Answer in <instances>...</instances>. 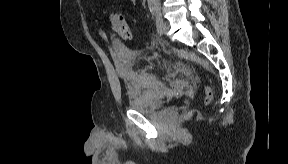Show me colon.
<instances>
[{
    "label": "colon",
    "mask_w": 288,
    "mask_h": 164,
    "mask_svg": "<svg viewBox=\"0 0 288 164\" xmlns=\"http://www.w3.org/2000/svg\"><path fill=\"white\" fill-rule=\"evenodd\" d=\"M106 18L109 21L111 28L122 36L126 40H131V35L127 28V22L124 17L116 12L109 11L106 14ZM213 97L212 90L210 88L205 89V100L210 102Z\"/></svg>",
    "instance_id": "colon-1"
}]
</instances>
